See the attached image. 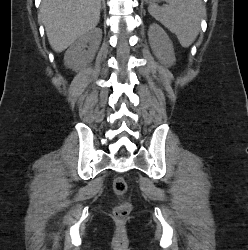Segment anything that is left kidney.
Wrapping results in <instances>:
<instances>
[{
	"label": "left kidney",
	"instance_id": "left-kidney-1",
	"mask_svg": "<svg viewBox=\"0 0 248 250\" xmlns=\"http://www.w3.org/2000/svg\"><path fill=\"white\" fill-rule=\"evenodd\" d=\"M149 43L154 55L167 67L172 66L176 59L174 48L167 33L156 23L149 27Z\"/></svg>",
	"mask_w": 248,
	"mask_h": 250
}]
</instances>
